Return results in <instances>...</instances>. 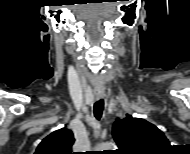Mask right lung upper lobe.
I'll return each instance as SVG.
<instances>
[{
    "instance_id": "1",
    "label": "right lung upper lobe",
    "mask_w": 190,
    "mask_h": 154,
    "mask_svg": "<svg viewBox=\"0 0 190 154\" xmlns=\"http://www.w3.org/2000/svg\"><path fill=\"white\" fill-rule=\"evenodd\" d=\"M74 141L72 131L62 128L44 138L38 145L35 154H73Z\"/></svg>"
}]
</instances>
